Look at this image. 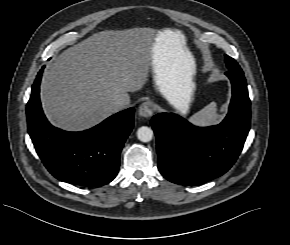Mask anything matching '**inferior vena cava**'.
Masks as SVG:
<instances>
[{
	"label": "inferior vena cava",
	"mask_w": 290,
	"mask_h": 245,
	"mask_svg": "<svg viewBox=\"0 0 290 245\" xmlns=\"http://www.w3.org/2000/svg\"><path fill=\"white\" fill-rule=\"evenodd\" d=\"M129 102L124 100L123 98H118L115 102H114V108L119 111L122 110L124 108H126L128 106Z\"/></svg>",
	"instance_id": "obj_1"
}]
</instances>
